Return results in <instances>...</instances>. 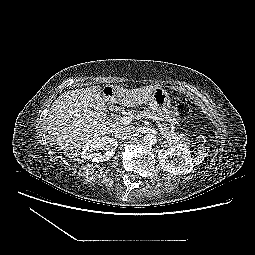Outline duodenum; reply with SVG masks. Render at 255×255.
<instances>
[{"label": "duodenum", "mask_w": 255, "mask_h": 255, "mask_svg": "<svg viewBox=\"0 0 255 255\" xmlns=\"http://www.w3.org/2000/svg\"><path fill=\"white\" fill-rule=\"evenodd\" d=\"M114 106H115V107H119L120 104H119V103H115Z\"/></svg>", "instance_id": "410a0bca"}]
</instances>
